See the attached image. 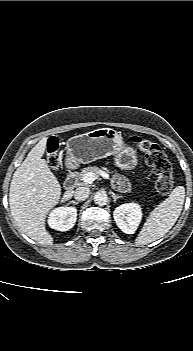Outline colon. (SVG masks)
I'll return each instance as SVG.
<instances>
[{
	"instance_id": "5ec220e1",
	"label": "colon",
	"mask_w": 193,
	"mask_h": 351,
	"mask_svg": "<svg viewBox=\"0 0 193 351\" xmlns=\"http://www.w3.org/2000/svg\"><path fill=\"white\" fill-rule=\"evenodd\" d=\"M129 141L135 145L139 151L144 153L147 164L156 174V189L162 196L170 194L173 188L172 166L165 153L157 144L140 136H131ZM59 143L56 138L49 139L46 148V159L54 171L59 169L58 156Z\"/></svg>"
}]
</instances>
